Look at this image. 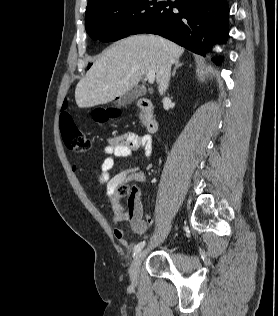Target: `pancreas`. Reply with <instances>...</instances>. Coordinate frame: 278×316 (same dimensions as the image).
<instances>
[{
    "instance_id": "1",
    "label": "pancreas",
    "mask_w": 278,
    "mask_h": 316,
    "mask_svg": "<svg viewBox=\"0 0 278 316\" xmlns=\"http://www.w3.org/2000/svg\"><path fill=\"white\" fill-rule=\"evenodd\" d=\"M139 118H140V121H141L143 124L146 123V117H145V115H144L143 113H140Z\"/></svg>"
}]
</instances>
